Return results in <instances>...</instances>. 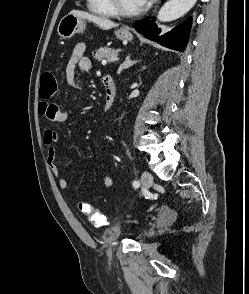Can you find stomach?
Listing matches in <instances>:
<instances>
[{"mask_svg":"<svg viewBox=\"0 0 249 294\" xmlns=\"http://www.w3.org/2000/svg\"><path fill=\"white\" fill-rule=\"evenodd\" d=\"M86 28L85 19L75 14L68 13L59 22L57 32L62 39H70L77 33H83ZM120 40H132L133 36L128 28H120L115 32Z\"/></svg>","mask_w":249,"mask_h":294,"instance_id":"0dacf381","label":"stomach"}]
</instances>
